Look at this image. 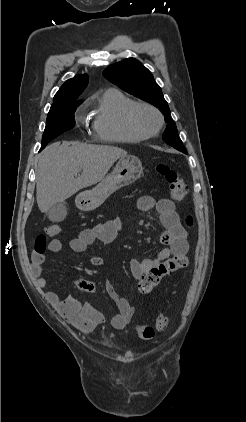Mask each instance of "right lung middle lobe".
Segmentation results:
<instances>
[{"instance_id": "dd1d6c3e", "label": "right lung middle lobe", "mask_w": 246, "mask_h": 422, "mask_svg": "<svg viewBox=\"0 0 246 422\" xmlns=\"http://www.w3.org/2000/svg\"><path fill=\"white\" fill-rule=\"evenodd\" d=\"M81 103H69L50 108L43 133L41 150L51 140L75 126L74 113Z\"/></svg>"}]
</instances>
